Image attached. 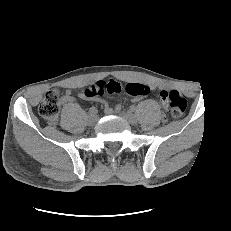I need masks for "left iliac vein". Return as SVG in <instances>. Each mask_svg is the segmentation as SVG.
Returning <instances> with one entry per match:
<instances>
[{
    "label": "left iliac vein",
    "mask_w": 231,
    "mask_h": 231,
    "mask_svg": "<svg viewBox=\"0 0 231 231\" xmlns=\"http://www.w3.org/2000/svg\"><path fill=\"white\" fill-rule=\"evenodd\" d=\"M121 116L130 124L134 125L137 122L136 117L131 112H122Z\"/></svg>",
    "instance_id": "obj_1"
}]
</instances>
